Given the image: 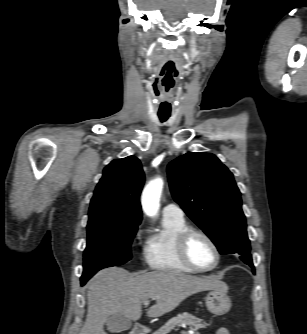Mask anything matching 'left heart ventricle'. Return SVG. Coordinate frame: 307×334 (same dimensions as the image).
<instances>
[{
  "label": "left heart ventricle",
  "instance_id": "left-heart-ventricle-1",
  "mask_svg": "<svg viewBox=\"0 0 307 334\" xmlns=\"http://www.w3.org/2000/svg\"><path fill=\"white\" fill-rule=\"evenodd\" d=\"M189 254L193 262L202 268L211 267L215 262V252L202 237L194 236L189 244Z\"/></svg>",
  "mask_w": 307,
  "mask_h": 334
}]
</instances>
